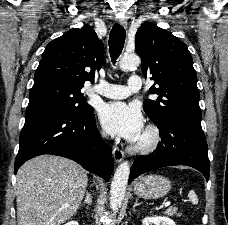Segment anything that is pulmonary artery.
Returning <instances> with one entry per match:
<instances>
[{
  "label": "pulmonary artery",
  "mask_w": 228,
  "mask_h": 225,
  "mask_svg": "<svg viewBox=\"0 0 228 225\" xmlns=\"http://www.w3.org/2000/svg\"><path fill=\"white\" fill-rule=\"evenodd\" d=\"M131 79L139 80V75H134ZM127 85V90L122 85H115L108 82H101L90 88V91L100 94L107 98L122 99L128 97L130 94H135L136 90H142V81H130Z\"/></svg>",
  "instance_id": "obj_1"
}]
</instances>
